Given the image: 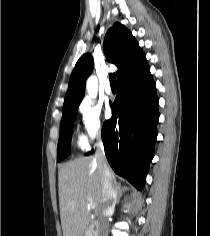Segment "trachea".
<instances>
[{"mask_svg": "<svg viewBox=\"0 0 210 236\" xmlns=\"http://www.w3.org/2000/svg\"><path fill=\"white\" fill-rule=\"evenodd\" d=\"M109 80H110L111 87L116 88V75H115V73L110 74Z\"/></svg>", "mask_w": 210, "mask_h": 236, "instance_id": "3493384b", "label": "trachea"}]
</instances>
